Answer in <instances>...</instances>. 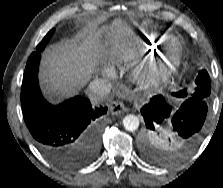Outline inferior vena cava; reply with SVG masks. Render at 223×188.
I'll return each mask as SVG.
<instances>
[{
	"label": "inferior vena cava",
	"instance_id": "1",
	"mask_svg": "<svg viewBox=\"0 0 223 188\" xmlns=\"http://www.w3.org/2000/svg\"><path fill=\"white\" fill-rule=\"evenodd\" d=\"M111 89L112 84L107 79H94L88 86L87 94L92 101H98L109 94Z\"/></svg>",
	"mask_w": 223,
	"mask_h": 188
}]
</instances>
